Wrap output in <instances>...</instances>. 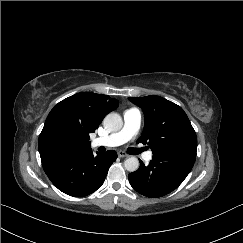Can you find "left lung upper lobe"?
Here are the masks:
<instances>
[{
	"instance_id": "5c2ea615",
	"label": "left lung upper lobe",
	"mask_w": 243,
	"mask_h": 243,
	"mask_svg": "<svg viewBox=\"0 0 243 243\" xmlns=\"http://www.w3.org/2000/svg\"><path fill=\"white\" fill-rule=\"evenodd\" d=\"M144 112L145 126L137 143L153 154L172 149L197 148L195 131L183 109L160 96L129 97Z\"/></svg>"
}]
</instances>
